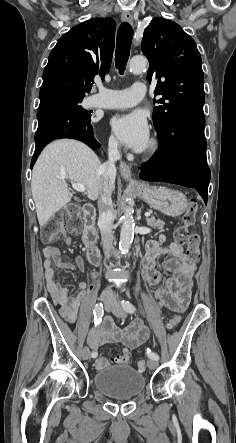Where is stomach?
<instances>
[{"label":"stomach","instance_id":"stomach-1","mask_svg":"<svg viewBox=\"0 0 236 443\" xmlns=\"http://www.w3.org/2000/svg\"><path fill=\"white\" fill-rule=\"evenodd\" d=\"M136 195L151 208L171 217L180 216L187 209L185 195L177 190L144 184L135 189Z\"/></svg>","mask_w":236,"mask_h":443}]
</instances>
